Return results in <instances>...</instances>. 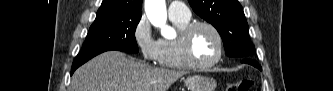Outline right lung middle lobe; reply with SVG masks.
<instances>
[{"label": "right lung middle lobe", "mask_w": 333, "mask_h": 91, "mask_svg": "<svg viewBox=\"0 0 333 91\" xmlns=\"http://www.w3.org/2000/svg\"><path fill=\"white\" fill-rule=\"evenodd\" d=\"M141 15L96 18L89 29L81 53L119 50L137 53L135 30Z\"/></svg>", "instance_id": "dd1d6c3e"}]
</instances>
